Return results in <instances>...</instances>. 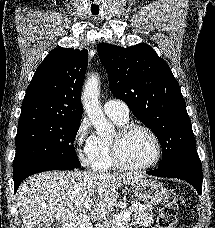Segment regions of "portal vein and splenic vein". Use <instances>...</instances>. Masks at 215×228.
Wrapping results in <instances>:
<instances>
[{
    "mask_svg": "<svg viewBox=\"0 0 215 228\" xmlns=\"http://www.w3.org/2000/svg\"><path fill=\"white\" fill-rule=\"evenodd\" d=\"M93 204L94 202H87V204H83V206L85 210H91ZM133 210H140V204H132L131 208H129V210H126V212H123V214H117V216H113V220H116V222H123V220H128Z\"/></svg>",
    "mask_w": 215,
    "mask_h": 228,
    "instance_id": "portal-vein-and-splenic-vein-1",
    "label": "portal vein and splenic vein"
}]
</instances>
